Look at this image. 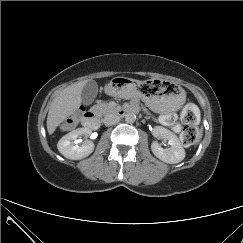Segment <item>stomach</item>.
<instances>
[{
  "instance_id": "obj_1",
  "label": "stomach",
  "mask_w": 243,
  "mask_h": 243,
  "mask_svg": "<svg viewBox=\"0 0 243 243\" xmlns=\"http://www.w3.org/2000/svg\"><path fill=\"white\" fill-rule=\"evenodd\" d=\"M109 92L128 101H142L158 113L178 111L185 103V91L177 84L160 79L146 82L115 77L107 85Z\"/></svg>"
}]
</instances>
